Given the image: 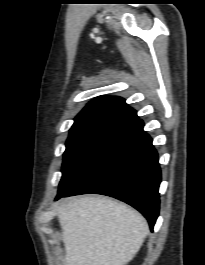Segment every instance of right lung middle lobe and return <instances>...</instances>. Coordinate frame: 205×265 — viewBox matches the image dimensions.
Here are the masks:
<instances>
[{
    "label": "right lung middle lobe",
    "instance_id": "right-lung-middle-lobe-1",
    "mask_svg": "<svg viewBox=\"0 0 205 265\" xmlns=\"http://www.w3.org/2000/svg\"><path fill=\"white\" fill-rule=\"evenodd\" d=\"M126 128L99 125L71 132L66 142L58 192L67 189Z\"/></svg>",
    "mask_w": 205,
    "mask_h": 265
}]
</instances>
